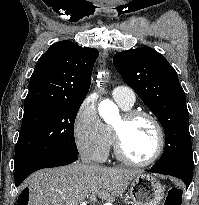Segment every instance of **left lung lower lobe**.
<instances>
[{
  "label": "left lung lower lobe",
  "instance_id": "obj_1",
  "mask_svg": "<svg viewBox=\"0 0 199 205\" xmlns=\"http://www.w3.org/2000/svg\"><path fill=\"white\" fill-rule=\"evenodd\" d=\"M147 171L152 172V173H159V174L175 176L181 179L186 184L187 188L189 187L192 181V174H188L177 168H154L152 167L150 170H147Z\"/></svg>",
  "mask_w": 199,
  "mask_h": 205
}]
</instances>
